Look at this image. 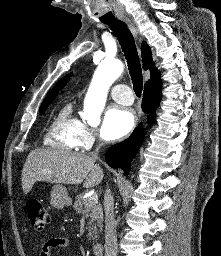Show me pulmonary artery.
I'll list each match as a JSON object with an SVG mask.
<instances>
[{"instance_id": "pulmonary-artery-1", "label": "pulmonary artery", "mask_w": 221, "mask_h": 256, "mask_svg": "<svg viewBox=\"0 0 221 256\" xmlns=\"http://www.w3.org/2000/svg\"><path fill=\"white\" fill-rule=\"evenodd\" d=\"M110 94L112 98L123 105H130L133 102V94L129 86L125 84H117L112 87Z\"/></svg>"}]
</instances>
